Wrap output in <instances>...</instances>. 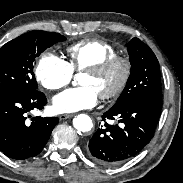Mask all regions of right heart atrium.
<instances>
[{"instance_id":"d8ad5b80","label":"right heart atrium","mask_w":183,"mask_h":183,"mask_svg":"<svg viewBox=\"0 0 183 183\" xmlns=\"http://www.w3.org/2000/svg\"><path fill=\"white\" fill-rule=\"evenodd\" d=\"M72 73L67 62L52 51L43 52L35 67L36 80L49 91L59 90L69 84Z\"/></svg>"}]
</instances>
